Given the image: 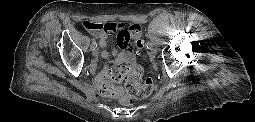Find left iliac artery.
Instances as JSON below:
<instances>
[{
	"label": "left iliac artery",
	"mask_w": 255,
	"mask_h": 122,
	"mask_svg": "<svg viewBox=\"0 0 255 122\" xmlns=\"http://www.w3.org/2000/svg\"><path fill=\"white\" fill-rule=\"evenodd\" d=\"M147 48H148V49H153V44H152L151 42H148V43H147Z\"/></svg>",
	"instance_id": "1"
}]
</instances>
